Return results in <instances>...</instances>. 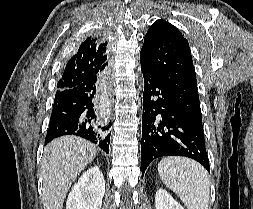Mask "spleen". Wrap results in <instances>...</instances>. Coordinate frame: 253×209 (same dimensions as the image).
I'll use <instances>...</instances> for the list:
<instances>
[{
	"instance_id": "3e777b00",
	"label": "spleen",
	"mask_w": 253,
	"mask_h": 209,
	"mask_svg": "<svg viewBox=\"0 0 253 209\" xmlns=\"http://www.w3.org/2000/svg\"><path fill=\"white\" fill-rule=\"evenodd\" d=\"M163 183L173 190L187 209H208L210 182L208 172L194 160L167 157L158 164Z\"/></svg>"
}]
</instances>
